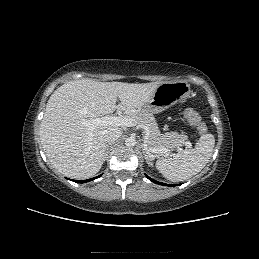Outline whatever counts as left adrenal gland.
Instances as JSON below:
<instances>
[{
  "mask_svg": "<svg viewBox=\"0 0 259 259\" xmlns=\"http://www.w3.org/2000/svg\"><path fill=\"white\" fill-rule=\"evenodd\" d=\"M142 152H143V155H144V158L147 162L148 165H151V163L149 162V156L147 155V151L146 149L144 148V146H142Z\"/></svg>",
  "mask_w": 259,
  "mask_h": 259,
  "instance_id": "left-adrenal-gland-1",
  "label": "left adrenal gland"
}]
</instances>
